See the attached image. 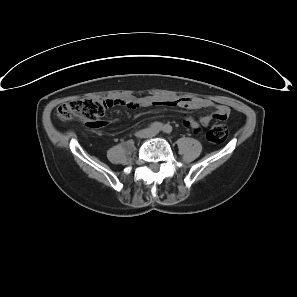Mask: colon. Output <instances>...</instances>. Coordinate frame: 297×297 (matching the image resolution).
Wrapping results in <instances>:
<instances>
[{"instance_id": "colon-1", "label": "colon", "mask_w": 297, "mask_h": 297, "mask_svg": "<svg viewBox=\"0 0 297 297\" xmlns=\"http://www.w3.org/2000/svg\"><path fill=\"white\" fill-rule=\"evenodd\" d=\"M108 106H111V102L102 98L76 99L60 105L56 116L61 121H69L73 118L101 121ZM227 136L228 130L222 124L212 126L206 133L207 140L214 144L224 142Z\"/></svg>"}]
</instances>
